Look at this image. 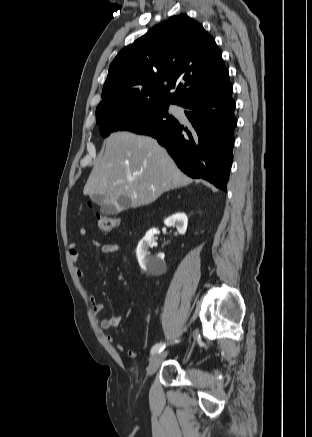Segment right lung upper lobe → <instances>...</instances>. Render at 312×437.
Instances as JSON below:
<instances>
[{"instance_id":"right-lung-upper-lobe-1","label":"right lung upper lobe","mask_w":312,"mask_h":437,"mask_svg":"<svg viewBox=\"0 0 312 437\" xmlns=\"http://www.w3.org/2000/svg\"><path fill=\"white\" fill-rule=\"evenodd\" d=\"M228 75L214 39L185 14L173 16L122 49L110 65L96 120L150 102L181 105ZM176 87L174 93L169 91Z\"/></svg>"}]
</instances>
